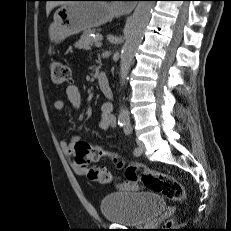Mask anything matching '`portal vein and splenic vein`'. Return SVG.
Segmentation results:
<instances>
[{
	"label": "portal vein and splenic vein",
	"mask_w": 231,
	"mask_h": 231,
	"mask_svg": "<svg viewBox=\"0 0 231 231\" xmlns=\"http://www.w3.org/2000/svg\"><path fill=\"white\" fill-rule=\"evenodd\" d=\"M95 46H96V47H101V46H102V42H101V41H97V42L95 43Z\"/></svg>",
	"instance_id": "obj_1"
}]
</instances>
